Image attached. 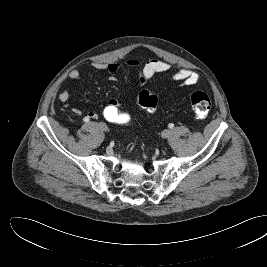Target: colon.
I'll return each instance as SVG.
<instances>
[{"label": "colon", "mask_w": 267, "mask_h": 267, "mask_svg": "<svg viewBox=\"0 0 267 267\" xmlns=\"http://www.w3.org/2000/svg\"><path fill=\"white\" fill-rule=\"evenodd\" d=\"M138 105L146 111L153 113L157 109V98L148 90H142L137 96ZM190 103L195 116L198 119H205L211 109L209 97L196 91L191 94ZM101 117L108 123L115 125H127L130 122L129 116L124 113L120 106L108 101L101 109Z\"/></svg>", "instance_id": "5ec220e1"}]
</instances>
